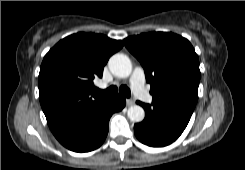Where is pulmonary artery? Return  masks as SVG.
I'll return each instance as SVG.
<instances>
[{"mask_svg": "<svg viewBox=\"0 0 245 170\" xmlns=\"http://www.w3.org/2000/svg\"><path fill=\"white\" fill-rule=\"evenodd\" d=\"M145 83V72L141 67H136L130 77V84L132 91L135 95L143 100H149L146 95Z\"/></svg>", "mask_w": 245, "mask_h": 170, "instance_id": "1", "label": "pulmonary artery"}]
</instances>
